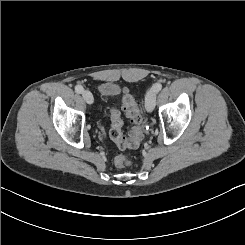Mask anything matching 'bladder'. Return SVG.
Here are the masks:
<instances>
[{
    "mask_svg": "<svg viewBox=\"0 0 245 245\" xmlns=\"http://www.w3.org/2000/svg\"><path fill=\"white\" fill-rule=\"evenodd\" d=\"M118 91H119V87L117 84L111 82L100 83L99 92L100 95L103 97L111 96L113 94L118 93Z\"/></svg>",
    "mask_w": 245,
    "mask_h": 245,
    "instance_id": "obj_1",
    "label": "bladder"
}]
</instances>
